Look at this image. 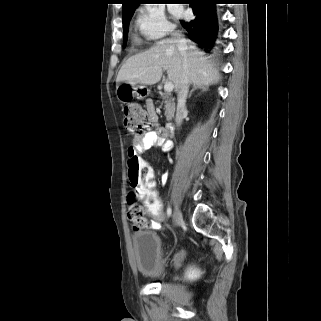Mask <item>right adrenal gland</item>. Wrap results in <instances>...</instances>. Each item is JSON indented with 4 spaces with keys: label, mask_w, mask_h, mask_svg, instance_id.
Instances as JSON below:
<instances>
[{
    "label": "right adrenal gland",
    "mask_w": 321,
    "mask_h": 321,
    "mask_svg": "<svg viewBox=\"0 0 321 321\" xmlns=\"http://www.w3.org/2000/svg\"><path fill=\"white\" fill-rule=\"evenodd\" d=\"M196 89H200L202 92H206L208 91V87L205 85H194L193 89L190 91L188 98L191 97L192 93L196 90Z\"/></svg>",
    "instance_id": "right-adrenal-gland-1"
}]
</instances>
